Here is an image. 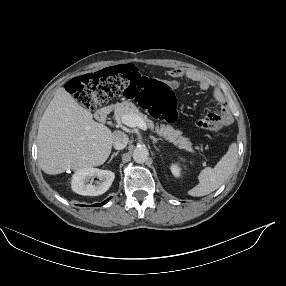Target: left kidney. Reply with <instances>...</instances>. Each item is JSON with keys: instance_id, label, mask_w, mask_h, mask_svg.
Listing matches in <instances>:
<instances>
[{"instance_id": "5707ae66", "label": "left kidney", "mask_w": 286, "mask_h": 286, "mask_svg": "<svg viewBox=\"0 0 286 286\" xmlns=\"http://www.w3.org/2000/svg\"><path fill=\"white\" fill-rule=\"evenodd\" d=\"M171 172H172V174H173L175 177H179V176H180V168H179L177 165H175V164H173V165L171 166Z\"/></svg>"}]
</instances>
